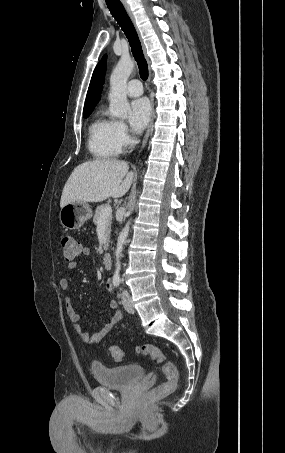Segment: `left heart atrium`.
I'll use <instances>...</instances> for the list:
<instances>
[{"instance_id":"39dd6f15","label":"left heart atrium","mask_w":285,"mask_h":453,"mask_svg":"<svg viewBox=\"0 0 285 453\" xmlns=\"http://www.w3.org/2000/svg\"><path fill=\"white\" fill-rule=\"evenodd\" d=\"M151 107L146 98H137L130 103L129 123L135 132H141L149 122Z\"/></svg>"}]
</instances>
